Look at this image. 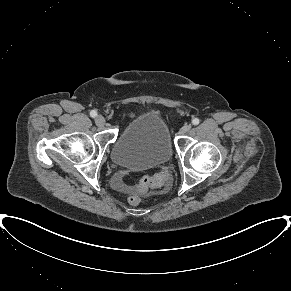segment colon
Masks as SVG:
<instances>
[{
    "mask_svg": "<svg viewBox=\"0 0 291 291\" xmlns=\"http://www.w3.org/2000/svg\"><path fill=\"white\" fill-rule=\"evenodd\" d=\"M166 179H167V174L165 172L155 174L154 176L145 177L139 183L138 189L140 191H145V190H148L150 188L160 187L164 184ZM141 201H142V199L137 195L131 196L129 198V202L133 206L139 205L141 203Z\"/></svg>",
    "mask_w": 291,
    "mask_h": 291,
    "instance_id": "5ec220e1",
    "label": "colon"
}]
</instances>
